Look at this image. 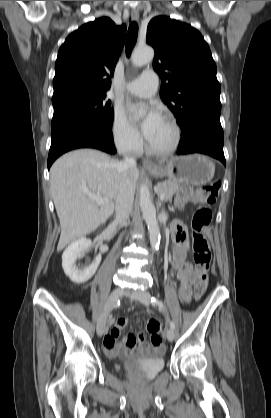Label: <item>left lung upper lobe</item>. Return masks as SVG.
<instances>
[{
	"mask_svg": "<svg viewBox=\"0 0 271 418\" xmlns=\"http://www.w3.org/2000/svg\"><path fill=\"white\" fill-rule=\"evenodd\" d=\"M146 42L155 50L153 67L163 81L161 98L181 128L198 118H220L221 87L202 35L186 23L157 16L148 24Z\"/></svg>",
	"mask_w": 271,
	"mask_h": 418,
	"instance_id": "obj_1",
	"label": "left lung upper lobe"
}]
</instances>
